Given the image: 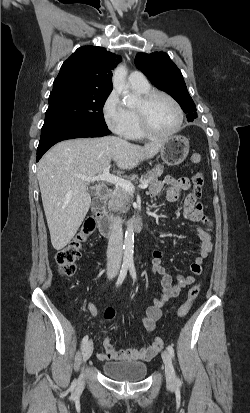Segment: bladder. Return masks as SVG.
<instances>
[{
    "label": "bladder",
    "mask_w": 250,
    "mask_h": 413,
    "mask_svg": "<svg viewBox=\"0 0 250 413\" xmlns=\"http://www.w3.org/2000/svg\"><path fill=\"white\" fill-rule=\"evenodd\" d=\"M101 369L109 378L127 382L140 381L148 372L145 363L135 361L105 362L101 365Z\"/></svg>",
    "instance_id": "31cf9c89"
}]
</instances>
